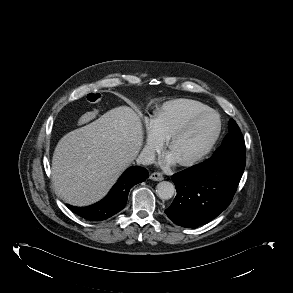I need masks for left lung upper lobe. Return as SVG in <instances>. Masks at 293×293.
<instances>
[{"mask_svg":"<svg viewBox=\"0 0 293 293\" xmlns=\"http://www.w3.org/2000/svg\"><path fill=\"white\" fill-rule=\"evenodd\" d=\"M228 125H229L228 135L224 138L222 146H220L215 151V153L210 159L220 158V156L224 154L223 151H232L239 147H245L244 138L236 122L233 119H231Z\"/></svg>","mask_w":293,"mask_h":293,"instance_id":"obj_1","label":"left lung upper lobe"}]
</instances>
